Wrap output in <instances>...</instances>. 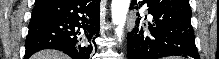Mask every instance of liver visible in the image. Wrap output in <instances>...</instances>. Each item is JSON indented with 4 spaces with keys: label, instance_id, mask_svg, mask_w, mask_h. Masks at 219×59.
Instances as JSON below:
<instances>
[{
    "label": "liver",
    "instance_id": "6515ba94",
    "mask_svg": "<svg viewBox=\"0 0 219 59\" xmlns=\"http://www.w3.org/2000/svg\"><path fill=\"white\" fill-rule=\"evenodd\" d=\"M30 59H69V57L56 50H43L31 56Z\"/></svg>",
    "mask_w": 219,
    "mask_h": 59
}]
</instances>
